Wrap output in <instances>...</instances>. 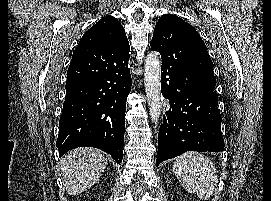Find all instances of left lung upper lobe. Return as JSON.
Wrapping results in <instances>:
<instances>
[{
	"instance_id": "obj_1",
	"label": "left lung upper lobe",
	"mask_w": 271,
	"mask_h": 201,
	"mask_svg": "<svg viewBox=\"0 0 271 201\" xmlns=\"http://www.w3.org/2000/svg\"><path fill=\"white\" fill-rule=\"evenodd\" d=\"M178 34H181L186 42L200 82L216 94V79L213 73V62L208 54L205 43L194 27L176 15H163L154 29L153 38L151 40L152 49H160L161 46L168 43L169 40L174 39Z\"/></svg>"
}]
</instances>
